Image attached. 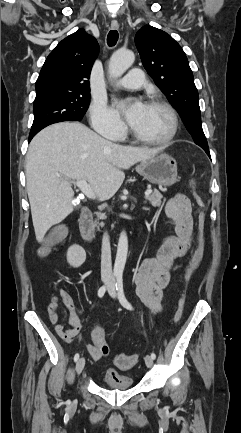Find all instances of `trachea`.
<instances>
[{
	"instance_id": "trachea-1",
	"label": "trachea",
	"mask_w": 241,
	"mask_h": 433,
	"mask_svg": "<svg viewBox=\"0 0 241 433\" xmlns=\"http://www.w3.org/2000/svg\"><path fill=\"white\" fill-rule=\"evenodd\" d=\"M118 38H119L118 32L116 30H111L107 36V44L109 46H114L117 43Z\"/></svg>"
}]
</instances>
